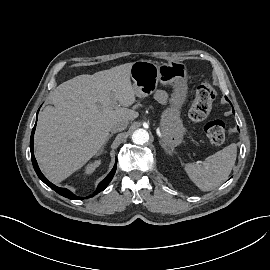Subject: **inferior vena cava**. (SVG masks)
<instances>
[{"instance_id": "602c4592", "label": "inferior vena cava", "mask_w": 270, "mask_h": 270, "mask_svg": "<svg viewBox=\"0 0 270 270\" xmlns=\"http://www.w3.org/2000/svg\"><path fill=\"white\" fill-rule=\"evenodd\" d=\"M127 126H128V121L115 122L111 125L110 131L113 133L123 131L127 128Z\"/></svg>"}]
</instances>
